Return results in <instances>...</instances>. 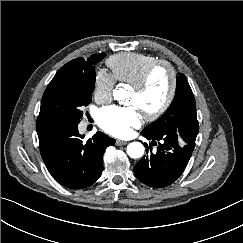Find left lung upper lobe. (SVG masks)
<instances>
[{
    "label": "left lung upper lobe",
    "instance_id": "left-lung-upper-lobe-1",
    "mask_svg": "<svg viewBox=\"0 0 243 243\" xmlns=\"http://www.w3.org/2000/svg\"><path fill=\"white\" fill-rule=\"evenodd\" d=\"M191 129L196 136L199 124L196 115L195 98L186 77L177 76L176 95L170 108L158 120L148 125L143 131L152 135L172 130L180 133L181 129Z\"/></svg>",
    "mask_w": 243,
    "mask_h": 243
}]
</instances>
